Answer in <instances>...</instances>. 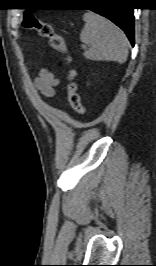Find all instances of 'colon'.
<instances>
[{
	"instance_id": "colon-1",
	"label": "colon",
	"mask_w": 156,
	"mask_h": 266,
	"mask_svg": "<svg viewBox=\"0 0 156 266\" xmlns=\"http://www.w3.org/2000/svg\"><path fill=\"white\" fill-rule=\"evenodd\" d=\"M22 25L29 30H35L39 36L48 40L49 45L56 51L65 55L64 60L66 63L71 62V57L68 55V48L64 38L57 34L50 23H46L38 19L33 13L27 12L24 14ZM67 97L71 108L78 115L85 114V107L81 102L78 92V85L76 83L75 70H69L67 75Z\"/></svg>"
}]
</instances>
